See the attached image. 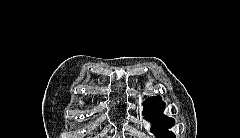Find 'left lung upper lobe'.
<instances>
[{"instance_id": "obj_1", "label": "left lung upper lobe", "mask_w": 240, "mask_h": 138, "mask_svg": "<svg viewBox=\"0 0 240 138\" xmlns=\"http://www.w3.org/2000/svg\"><path fill=\"white\" fill-rule=\"evenodd\" d=\"M143 105L144 118L153 125L151 132H153L157 138H175L174 133L168 131V128L174 126L175 121L173 118H169L162 114L165 104L162 102L161 97H150Z\"/></svg>"}]
</instances>
